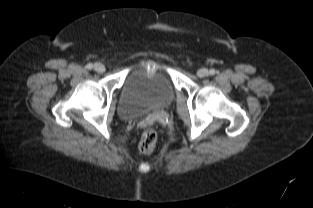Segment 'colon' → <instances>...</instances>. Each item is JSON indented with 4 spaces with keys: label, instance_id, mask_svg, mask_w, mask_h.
<instances>
[{
    "label": "colon",
    "instance_id": "obj_1",
    "mask_svg": "<svg viewBox=\"0 0 313 208\" xmlns=\"http://www.w3.org/2000/svg\"><path fill=\"white\" fill-rule=\"evenodd\" d=\"M158 133L154 128L146 129L140 139L139 149L143 154H150L155 148Z\"/></svg>",
    "mask_w": 313,
    "mask_h": 208
}]
</instances>
